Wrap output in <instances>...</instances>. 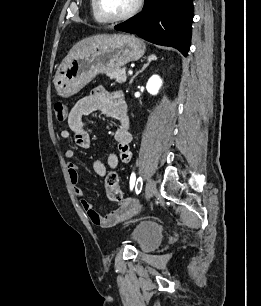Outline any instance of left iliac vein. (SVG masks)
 Wrapping results in <instances>:
<instances>
[{
	"label": "left iliac vein",
	"mask_w": 261,
	"mask_h": 306,
	"mask_svg": "<svg viewBox=\"0 0 261 306\" xmlns=\"http://www.w3.org/2000/svg\"><path fill=\"white\" fill-rule=\"evenodd\" d=\"M156 190V183L152 178H149L145 188V199L149 200Z\"/></svg>",
	"instance_id": "left-iliac-vein-1"
}]
</instances>
